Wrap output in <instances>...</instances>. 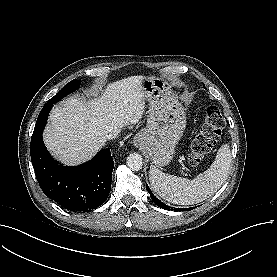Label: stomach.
Returning <instances> with one entry per match:
<instances>
[{"instance_id":"0dacf381","label":"stomach","mask_w":277,"mask_h":277,"mask_svg":"<svg viewBox=\"0 0 277 277\" xmlns=\"http://www.w3.org/2000/svg\"><path fill=\"white\" fill-rule=\"evenodd\" d=\"M149 104L147 126L135 137L150 161L160 167L169 164L186 127L184 110L170 85L162 78L145 76L141 80Z\"/></svg>"}]
</instances>
